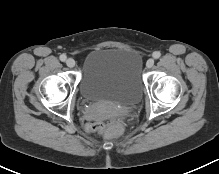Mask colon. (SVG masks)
Here are the masks:
<instances>
[{"label":"colon","mask_w":219,"mask_h":174,"mask_svg":"<svg viewBox=\"0 0 219 174\" xmlns=\"http://www.w3.org/2000/svg\"><path fill=\"white\" fill-rule=\"evenodd\" d=\"M86 128L90 132H97L112 138L119 135L123 130V125L118 119L110 121L107 125L99 121H92L86 125Z\"/></svg>","instance_id":"colon-1"}]
</instances>
